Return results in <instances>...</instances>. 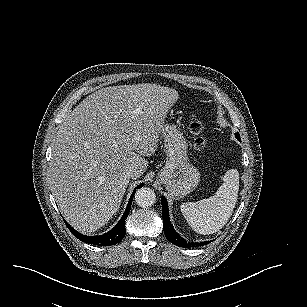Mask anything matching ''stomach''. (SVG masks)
<instances>
[{
  "instance_id": "0dacf381",
  "label": "stomach",
  "mask_w": 307,
  "mask_h": 307,
  "mask_svg": "<svg viewBox=\"0 0 307 307\" xmlns=\"http://www.w3.org/2000/svg\"><path fill=\"white\" fill-rule=\"evenodd\" d=\"M159 133L164 143L166 161L157 180L172 198L180 199L198 187L201 173L191 162L188 140L176 125L163 123Z\"/></svg>"
}]
</instances>
